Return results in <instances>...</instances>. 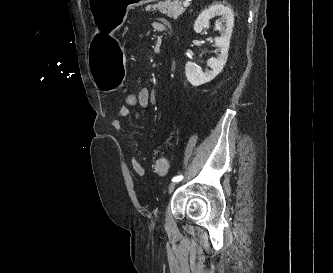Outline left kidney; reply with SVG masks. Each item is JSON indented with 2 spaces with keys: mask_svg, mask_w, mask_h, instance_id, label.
<instances>
[{
  "mask_svg": "<svg viewBox=\"0 0 333 273\" xmlns=\"http://www.w3.org/2000/svg\"><path fill=\"white\" fill-rule=\"evenodd\" d=\"M221 16V36L214 39L215 45L218 46L220 54L216 58H210L207 63L212 70L202 71L200 67L193 62L188 61L185 65L186 78L193 86H199L201 84L210 82L213 80L225 66L228 58V50L230 45V39L234 26V15L231 8L221 3H215L209 8L202 11L198 16L194 24V30L196 33H200L203 27L207 25L210 19Z\"/></svg>",
  "mask_w": 333,
  "mask_h": 273,
  "instance_id": "obj_1",
  "label": "left kidney"
}]
</instances>
